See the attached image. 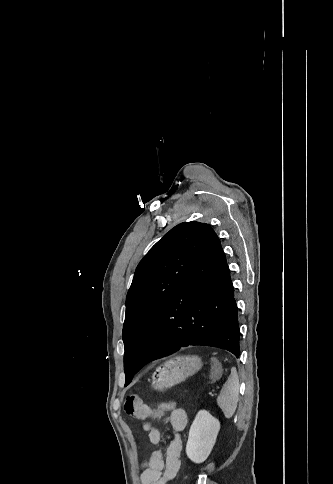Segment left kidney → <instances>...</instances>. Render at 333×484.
Wrapping results in <instances>:
<instances>
[{
	"label": "left kidney",
	"mask_w": 333,
	"mask_h": 484,
	"mask_svg": "<svg viewBox=\"0 0 333 484\" xmlns=\"http://www.w3.org/2000/svg\"><path fill=\"white\" fill-rule=\"evenodd\" d=\"M220 422L209 412L201 410L197 413L189 430L186 454L194 463L204 462L215 445Z\"/></svg>",
	"instance_id": "obj_1"
}]
</instances>
